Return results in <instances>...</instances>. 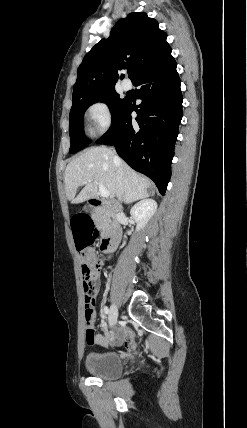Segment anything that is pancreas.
<instances>
[{"label":"pancreas","instance_id":"1","mask_svg":"<svg viewBox=\"0 0 247 428\" xmlns=\"http://www.w3.org/2000/svg\"><path fill=\"white\" fill-rule=\"evenodd\" d=\"M94 221L101 230L105 231L109 226L110 219L106 217L102 212H99L95 215Z\"/></svg>","mask_w":247,"mask_h":428}]
</instances>
